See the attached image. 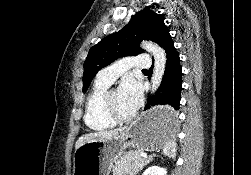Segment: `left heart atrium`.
Returning <instances> with one entry per match:
<instances>
[{"label": "left heart atrium", "mask_w": 251, "mask_h": 175, "mask_svg": "<svg viewBox=\"0 0 251 175\" xmlns=\"http://www.w3.org/2000/svg\"><path fill=\"white\" fill-rule=\"evenodd\" d=\"M142 96L140 83L132 77L125 78L118 88L119 101L129 113H135L138 110Z\"/></svg>", "instance_id": "obj_1"}]
</instances>
